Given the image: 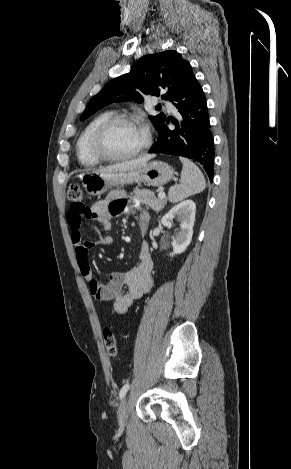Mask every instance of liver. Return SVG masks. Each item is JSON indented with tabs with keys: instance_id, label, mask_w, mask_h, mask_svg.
I'll list each match as a JSON object with an SVG mask.
<instances>
[{
	"instance_id": "6515ba94",
	"label": "liver",
	"mask_w": 291,
	"mask_h": 469,
	"mask_svg": "<svg viewBox=\"0 0 291 469\" xmlns=\"http://www.w3.org/2000/svg\"><path fill=\"white\" fill-rule=\"evenodd\" d=\"M154 155H145L141 158H137L134 160L125 161L122 163H118L115 165L107 166L105 168H101L96 170V172H118V171H127L139 168L146 164Z\"/></svg>"
}]
</instances>
